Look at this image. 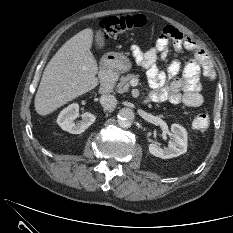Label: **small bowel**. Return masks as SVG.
Masks as SVG:
<instances>
[{
	"label": "small bowel",
	"instance_id": "small-bowel-1",
	"mask_svg": "<svg viewBox=\"0 0 233 233\" xmlns=\"http://www.w3.org/2000/svg\"><path fill=\"white\" fill-rule=\"evenodd\" d=\"M170 42L177 51L187 50L193 54L185 64L181 76H178L181 64L177 60L171 61L167 70L159 69L156 64L159 57H168ZM131 51L137 63L146 70L152 88L149 95L151 101L184 104L189 107H199L203 104L200 76L213 80L215 71L207 53L194 40L184 36L175 27L166 26L153 47L144 51L133 45Z\"/></svg>",
	"mask_w": 233,
	"mask_h": 233
}]
</instances>
